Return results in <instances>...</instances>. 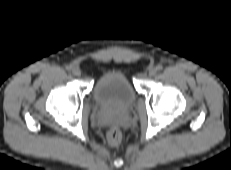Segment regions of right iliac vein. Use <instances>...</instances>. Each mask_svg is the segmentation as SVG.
<instances>
[{
	"instance_id": "1",
	"label": "right iliac vein",
	"mask_w": 231,
	"mask_h": 170,
	"mask_svg": "<svg viewBox=\"0 0 231 170\" xmlns=\"http://www.w3.org/2000/svg\"><path fill=\"white\" fill-rule=\"evenodd\" d=\"M72 73L75 75V76H80L81 75V71L78 67H74L72 69Z\"/></svg>"
}]
</instances>
